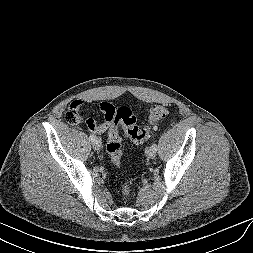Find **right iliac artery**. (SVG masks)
Segmentation results:
<instances>
[{
    "instance_id": "right-iliac-artery-1",
    "label": "right iliac artery",
    "mask_w": 253,
    "mask_h": 253,
    "mask_svg": "<svg viewBox=\"0 0 253 253\" xmlns=\"http://www.w3.org/2000/svg\"><path fill=\"white\" fill-rule=\"evenodd\" d=\"M96 137L93 134H90V140L93 141Z\"/></svg>"
}]
</instances>
